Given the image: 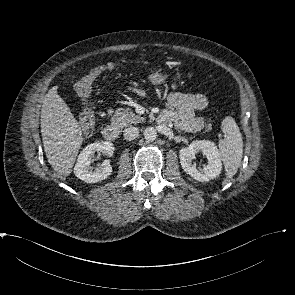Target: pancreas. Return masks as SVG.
<instances>
[{"mask_svg": "<svg viewBox=\"0 0 295 295\" xmlns=\"http://www.w3.org/2000/svg\"><path fill=\"white\" fill-rule=\"evenodd\" d=\"M144 120L143 117H141L138 114L133 113L129 108H119L116 110L114 116L111 119L112 125L118 127V128H125L132 124L140 123ZM211 128V124H207L205 131L209 130Z\"/></svg>", "mask_w": 295, "mask_h": 295, "instance_id": "obj_1", "label": "pancreas"}]
</instances>
